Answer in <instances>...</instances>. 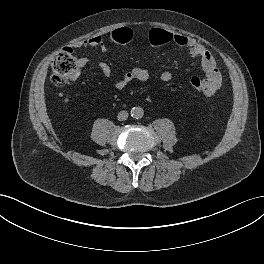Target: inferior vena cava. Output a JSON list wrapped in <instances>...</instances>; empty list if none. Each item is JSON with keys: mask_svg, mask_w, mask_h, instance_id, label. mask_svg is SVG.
Listing matches in <instances>:
<instances>
[{"mask_svg": "<svg viewBox=\"0 0 264 264\" xmlns=\"http://www.w3.org/2000/svg\"><path fill=\"white\" fill-rule=\"evenodd\" d=\"M128 118V112L127 111H120L117 115V119L119 121H125Z\"/></svg>", "mask_w": 264, "mask_h": 264, "instance_id": "1", "label": "inferior vena cava"}]
</instances>
